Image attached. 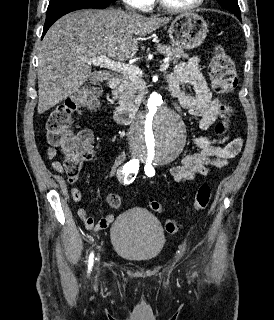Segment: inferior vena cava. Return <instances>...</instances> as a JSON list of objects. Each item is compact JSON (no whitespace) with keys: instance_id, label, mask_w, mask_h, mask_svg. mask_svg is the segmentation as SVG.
<instances>
[{"instance_id":"602c4592","label":"inferior vena cava","mask_w":274,"mask_h":320,"mask_svg":"<svg viewBox=\"0 0 274 320\" xmlns=\"http://www.w3.org/2000/svg\"><path fill=\"white\" fill-rule=\"evenodd\" d=\"M130 14H134V16H137L136 12H134V10H132V12H130Z\"/></svg>"}]
</instances>
